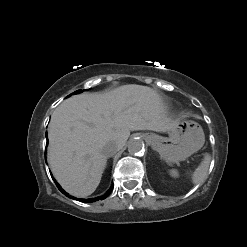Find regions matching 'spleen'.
Returning <instances> with one entry per match:
<instances>
[{
  "label": "spleen",
  "instance_id": "1",
  "mask_svg": "<svg viewBox=\"0 0 247 247\" xmlns=\"http://www.w3.org/2000/svg\"><path fill=\"white\" fill-rule=\"evenodd\" d=\"M210 161H211V156L208 153H206L204 155L202 162L200 163V165L195 169V171L192 174L191 178H192L193 184L197 185V184L202 183L205 180L207 172H208ZM169 173L174 178H177L179 176L178 171L176 169L170 170Z\"/></svg>",
  "mask_w": 247,
  "mask_h": 247
}]
</instances>
